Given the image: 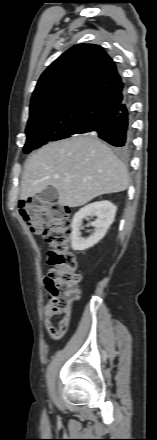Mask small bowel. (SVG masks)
Wrapping results in <instances>:
<instances>
[{"mask_svg": "<svg viewBox=\"0 0 157 440\" xmlns=\"http://www.w3.org/2000/svg\"><path fill=\"white\" fill-rule=\"evenodd\" d=\"M43 313H44V324L49 331L50 337L53 339L61 338L67 332V329L69 327V318L63 317L59 321L58 326L55 327L54 324L52 323V319L55 316L52 313L49 305L44 306Z\"/></svg>", "mask_w": 157, "mask_h": 440, "instance_id": "1", "label": "small bowel"}]
</instances>
